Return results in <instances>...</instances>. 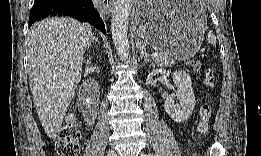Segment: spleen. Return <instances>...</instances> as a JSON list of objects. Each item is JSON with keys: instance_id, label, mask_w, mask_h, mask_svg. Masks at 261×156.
I'll use <instances>...</instances> for the list:
<instances>
[{"instance_id": "obj_1", "label": "spleen", "mask_w": 261, "mask_h": 156, "mask_svg": "<svg viewBox=\"0 0 261 156\" xmlns=\"http://www.w3.org/2000/svg\"><path fill=\"white\" fill-rule=\"evenodd\" d=\"M207 41L212 45H216V36L214 35L213 31H209L207 35Z\"/></svg>"}]
</instances>
